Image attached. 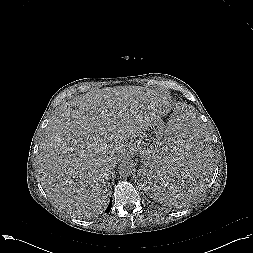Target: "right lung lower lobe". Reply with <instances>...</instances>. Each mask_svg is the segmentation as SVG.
Here are the masks:
<instances>
[{
  "instance_id": "right-lung-lower-lobe-1",
  "label": "right lung lower lobe",
  "mask_w": 253,
  "mask_h": 253,
  "mask_svg": "<svg viewBox=\"0 0 253 253\" xmlns=\"http://www.w3.org/2000/svg\"><path fill=\"white\" fill-rule=\"evenodd\" d=\"M110 209H111V201H110V203H109V205H108V207H107L105 213H109Z\"/></svg>"
}]
</instances>
